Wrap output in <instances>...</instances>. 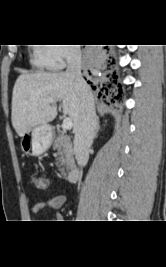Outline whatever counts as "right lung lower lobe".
<instances>
[{
    "instance_id": "obj_1",
    "label": "right lung lower lobe",
    "mask_w": 166,
    "mask_h": 267,
    "mask_svg": "<svg viewBox=\"0 0 166 267\" xmlns=\"http://www.w3.org/2000/svg\"><path fill=\"white\" fill-rule=\"evenodd\" d=\"M116 77L117 76H114V78H116ZM88 83H90V82L88 81ZM119 86H120V84H119ZM92 88L99 92V96H103V97L113 96L114 98H117V99L119 97V94L117 96L114 95L115 89L110 84L109 85L104 84V83L103 84H97V85L92 86ZM119 92H121L120 88H119Z\"/></svg>"
}]
</instances>
